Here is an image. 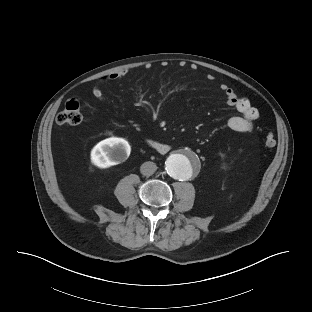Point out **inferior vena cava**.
Segmentation results:
<instances>
[{
	"label": "inferior vena cava",
	"mask_w": 312,
	"mask_h": 312,
	"mask_svg": "<svg viewBox=\"0 0 312 312\" xmlns=\"http://www.w3.org/2000/svg\"><path fill=\"white\" fill-rule=\"evenodd\" d=\"M156 170L157 165L151 161L144 162L140 167V171L144 176H151Z\"/></svg>",
	"instance_id": "inferior-vena-cava-1"
}]
</instances>
